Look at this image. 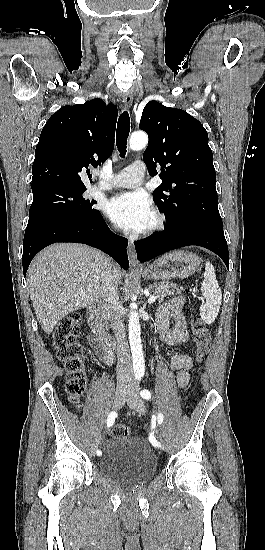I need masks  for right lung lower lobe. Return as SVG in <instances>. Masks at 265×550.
I'll return each mask as SVG.
<instances>
[{
    "label": "right lung lower lobe",
    "mask_w": 265,
    "mask_h": 550,
    "mask_svg": "<svg viewBox=\"0 0 265 550\" xmlns=\"http://www.w3.org/2000/svg\"><path fill=\"white\" fill-rule=\"evenodd\" d=\"M56 242H76L93 246L110 255L125 270L129 267L126 250L128 240L115 235L99 213L90 218H59L27 227L23 240L24 275L33 257Z\"/></svg>",
    "instance_id": "98d812e1"
}]
</instances>
